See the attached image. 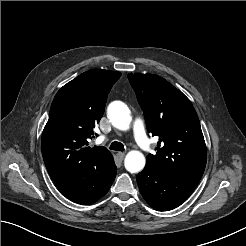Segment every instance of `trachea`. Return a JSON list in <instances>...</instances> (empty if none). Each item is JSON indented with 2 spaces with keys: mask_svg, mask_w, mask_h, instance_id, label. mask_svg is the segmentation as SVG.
<instances>
[{
  "mask_svg": "<svg viewBox=\"0 0 246 246\" xmlns=\"http://www.w3.org/2000/svg\"><path fill=\"white\" fill-rule=\"evenodd\" d=\"M110 149L116 150V151H124V145L120 142L115 141V142L111 143Z\"/></svg>",
  "mask_w": 246,
  "mask_h": 246,
  "instance_id": "3493384b",
  "label": "trachea"
}]
</instances>
